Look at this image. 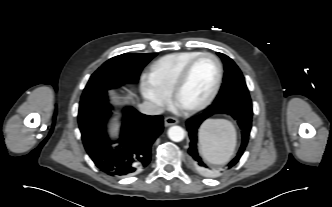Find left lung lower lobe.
I'll return each instance as SVG.
<instances>
[{
  "mask_svg": "<svg viewBox=\"0 0 332 207\" xmlns=\"http://www.w3.org/2000/svg\"><path fill=\"white\" fill-rule=\"evenodd\" d=\"M217 113H225L231 115L237 120L240 129L242 130V142L236 156L227 164V169H230L240 160L245 148L248 144L249 135L252 127V102L244 99H229L220 102H214L202 114L193 117L186 122L187 131L189 134V161L190 164L200 173L211 175L216 173L209 169L203 159L198 153V128L201 123L208 117Z\"/></svg>",
  "mask_w": 332,
  "mask_h": 207,
  "instance_id": "left-lung-lower-lobe-1",
  "label": "left lung lower lobe"
}]
</instances>
